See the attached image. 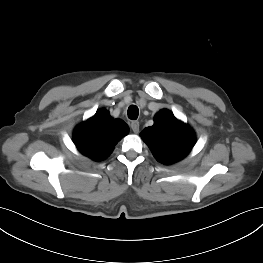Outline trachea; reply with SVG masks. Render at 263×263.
I'll return each instance as SVG.
<instances>
[{"label": "trachea", "instance_id": "3493384b", "mask_svg": "<svg viewBox=\"0 0 263 263\" xmlns=\"http://www.w3.org/2000/svg\"><path fill=\"white\" fill-rule=\"evenodd\" d=\"M139 109L136 105H130L128 108V118L136 120L138 118Z\"/></svg>", "mask_w": 263, "mask_h": 263}]
</instances>
